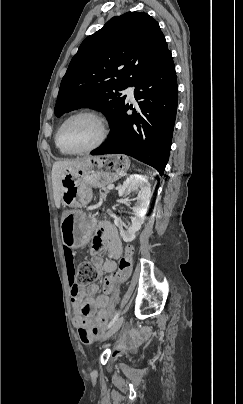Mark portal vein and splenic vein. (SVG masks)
Masks as SVG:
<instances>
[{
	"instance_id": "1",
	"label": "portal vein and splenic vein",
	"mask_w": 243,
	"mask_h": 404,
	"mask_svg": "<svg viewBox=\"0 0 243 404\" xmlns=\"http://www.w3.org/2000/svg\"><path fill=\"white\" fill-rule=\"evenodd\" d=\"M108 190H113L114 186L111 184V186H107Z\"/></svg>"
}]
</instances>
